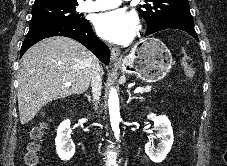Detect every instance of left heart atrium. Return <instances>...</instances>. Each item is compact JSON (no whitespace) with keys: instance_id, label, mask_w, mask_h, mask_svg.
Segmentation results:
<instances>
[{"instance_id":"39dd6f15","label":"left heart atrium","mask_w":227,"mask_h":166,"mask_svg":"<svg viewBox=\"0 0 227 166\" xmlns=\"http://www.w3.org/2000/svg\"><path fill=\"white\" fill-rule=\"evenodd\" d=\"M136 27V16L123 10L99 14L95 20L97 34L101 38L114 43H125L131 40Z\"/></svg>"}]
</instances>
